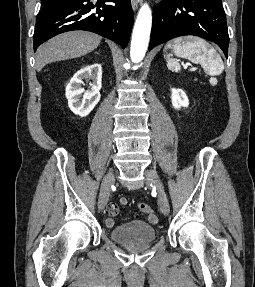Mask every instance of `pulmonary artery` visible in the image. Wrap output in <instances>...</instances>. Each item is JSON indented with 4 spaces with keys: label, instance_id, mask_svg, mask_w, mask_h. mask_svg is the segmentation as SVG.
<instances>
[{
    "label": "pulmonary artery",
    "instance_id": "pulmonary-artery-1",
    "mask_svg": "<svg viewBox=\"0 0 255 287\" xmlns=\"http://www.w3.org/2000/svg\"><path fill=\"white\" fill-rule=\"evenodd\" d=\"M115 33H123V32H115ZM118 39H122V38H118Z\"/></svg>",
    "mask_w": 255,
    "mask_h": 287
}]
</instances>
